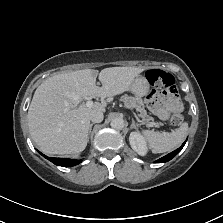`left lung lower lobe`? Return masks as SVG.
Here are the masks:
<instances>
[{
  "instance_id": "1",
  "label": "left lung lower lobe",
  "mask_w": 223,
  "mask_h": 223,
  "mask_svg": "<svg viewBox=\"0 0 223 223\" xmlns=\"http://www.w3.org/2000/svg\"><path fill=\"white\" fill-rule=\"evenodd\" d=\"M185 143H186V141L177 150H175V151L169 153L168 155L158 159L156 161V163H165V162H168L169 160H171L172 158H174L181 151V149L184 147Z\"/></svg>"
}]
</instances>
